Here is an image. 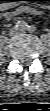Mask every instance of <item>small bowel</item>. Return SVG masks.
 Returning <instances> with one entry per match:
<instances>
[{
  "label": "small bowel",
  "instance_id": "obj_1",
  "mask_svg": "<svg viewBox=\"0 0 50 111\" xmlns=\"http://www.w3.org/2000/svg\"><path fill=\"white\" fill-rule=\"evenodd\" d=\"M41 13V11L31 8L29 6H20L13 11L3 13L2 16L5 20H10L13 17L21 14L40 15Z\"/></svg>",
  "mask_w": 50,
  "mask_h": 111
}]
</instances>
